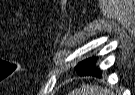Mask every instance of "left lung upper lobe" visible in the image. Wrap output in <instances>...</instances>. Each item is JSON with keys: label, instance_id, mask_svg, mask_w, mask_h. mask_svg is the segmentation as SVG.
I'll list each match as a JSON object with an SVG mask.
<instances>
[{"label": "left lung upper lobe", "instance_id": "left-lung-upper-lobe-1", "mask_svg": "<svg viewBox=\"0 0 135 95\" xmlns=\"http://www.w3.org/2000/svg\"><path fill=\"white\" fill-rule=\"evenodd\" d=\"M86 61L87 60H84V61L78 63V65L75 67V70H78L79 68L85 67Z\"/></svg>", "mask_w": 135, "mask_h": 95}]
</instances>
